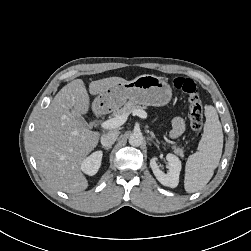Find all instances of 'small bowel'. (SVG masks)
Here are the masks:
<instances>
[{"mask_svg":"<svg viewBox=\"0 0 251 251\" xmlns=\"http://www.w3.org/2000/svg\"><path fill=\"white\" fill-rule=\"evenodd\" d=\"M185 123L181 117H177L172 122L171 137H178L184 130Z\"/></svg>","mask_w":251,"mask_h":251,"instance_id":"small-bowel-1","label":"small bowel"}]
</instances>
